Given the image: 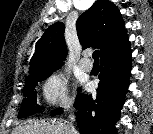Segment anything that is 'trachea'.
<instances>
[{
    "mask_svg": "<svg viewBox=\"0 0 153 134\" xmlns=\"http://www.w3.org/2000/svg\"><path fill=\"white\" fill-rule=\"evenodd\" d=\"M99 56H100L99 50H95L92 54V57H93L94 61H96V62L99 61Z\"/></svg>",
    "mask_w": 153,
    "mask_h": 134,
    "instance_id": "3493384b",
    "label": "trachea"
}]
</instances>
